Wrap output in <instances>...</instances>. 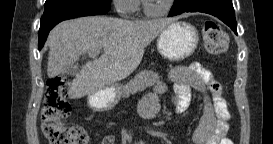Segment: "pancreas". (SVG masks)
Instances as JSON below:
<instances>
[{
  "label": "pancreas",
  "instance_id": "obj_1",
  "mask_svg": "<svg viewBox=\"0 0 273 144\" xmlns=\"http://www.w3.org/2000/svg\"><path fill=\"white\" fill-rule=\"evenodd\" d=\"M160 80L158 73L151 70H143L135 75L125 86L121 88V96L127 98L130 94L143 91L147 87L155 85Z\"/></svg>",
  "mask_w": 273,
  "mask_h": 144
}]
</instances>
